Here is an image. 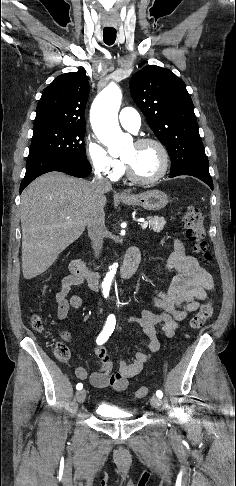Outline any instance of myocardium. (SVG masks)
Wrapping results in <instances>:
<instances>
[{
  "mask_svg": "<svg viewBox=\"0 0 236 486\" xmlns=\"http://www.w3.org/2000/svg\"><path fill=\"white\" fill-rule=\"evenodd\" d=\"M134 144L137 145V146H143V145H148V144L155 145L161 153L162 166H161V169L159 170V172L156 175H154L150 178H141V177H138L133 172L130 165L124 160L128 179L131 180L134 183L142 184V185L153 184V183H156L159 180H161L166 175V173L169 169V164H170V156H169V152H168L166 146L160 140L155 139V138H142V139L137 140Z\"/></svg>",
  "mask_w": 236,
  "mask_h": 486,
  "instance_id": "1",
  "label": "myocardium"
}]
</instances>
